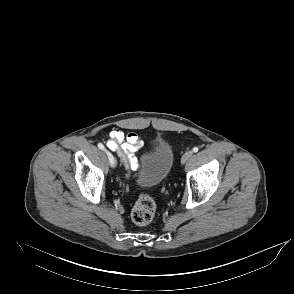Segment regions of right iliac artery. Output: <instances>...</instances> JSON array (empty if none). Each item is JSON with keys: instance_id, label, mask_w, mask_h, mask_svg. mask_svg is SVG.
Returning a JSON list of instances; mask_svg holds the SVG:
<instances>
[{"instance_id": "obj_1", "label": "right iliac artery", "mask_w": 294, "mask_h": 294, "mask_svg": "<svg viewBox=\"0 0 294 294\" xmlns=\"http://www.w3.org/2000/svg\"><path fill=\"white\" fill-rule=\"evenodd\" d=\"M98 148L100 150H103L107 154L109 161H110V164L112 165L114 163L113 155L104 147V145L102 143H98Z\"/></svg>"}]
</instances>
